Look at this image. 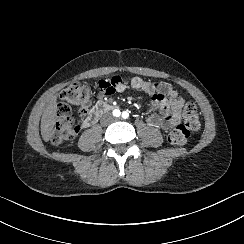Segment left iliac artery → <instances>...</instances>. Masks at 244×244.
<instances>
[{
    "label": "left iliac artery",
    "mask_w": 244,
    "mask_h": 244,
    "mask_svg": "<svg viewBox=\"0 0 244 244\" xmlns=\"http://www.w3.org/2000/svg\"><path fill=\"white\" fill-rule=\"evenodd\" d=\"M122 117H123L124 119H127V118L129 117V113H128L127 111H124V112L122 113Z\"/></svg>",
    "instance_id": "obj_1"
}]
</instances>
